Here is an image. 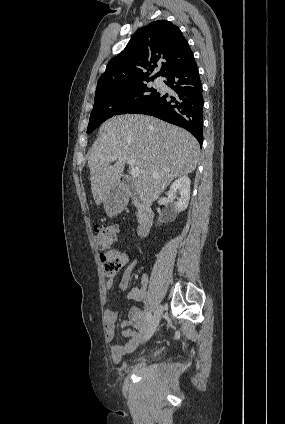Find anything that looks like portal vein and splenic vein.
Instances as JSON below:
<instances>
[{"instance_id":"portal-vein-and-splenic-vein-1","label":"portal vein and splenic vein","mask_w":285,"mask_h":424,"mask_svg":"<svg viewBox=\"0 0 285 424\" xmlns=\"http://www.w3.org/2000/svg\"><path fill=\"white\" fill-rule=\"evenodd\" d=\"M117 159L116 155H113L110 157L111 161H114ZM128 164L131 168L130 170V174L133 178H137L140 175V169L138 167L135 166L134 160H128Z\"/></svg>"}]
</instances>
